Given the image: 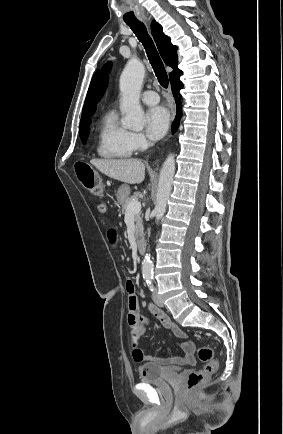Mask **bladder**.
I'll return each mask as SVG.
<instances>
[{
    "instance_id": "1",
    "label": "bladder",
    "mask_w": 283,
    "mask_h": 434,
    "mask_svg": "<svg viewBox=\"0 0 283 434\" xmlns=\"http://www.w3.org/2000/svg\"><path fill=\"white\" fill-rule=\"evenodd\" d=\"M178 374V369L148 363L139 371V378L144 382H161Z\"/></svg>"
}]
</instances>
